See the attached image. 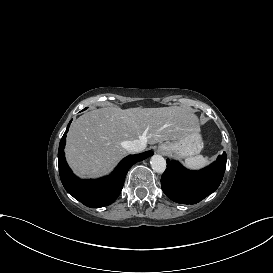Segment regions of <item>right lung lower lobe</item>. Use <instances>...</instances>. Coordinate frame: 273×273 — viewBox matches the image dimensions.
Returning a JSON list of instances; mask_svg holds the SVG:
<instances>
[{
  "label": "right lung lower lobe",
  "instance_id": "1",
  "mask_svg": "<svg viewBox=\"0 0 273 273\" xmlns=\"http://www.w3.org/2000/svg\"><path fill=\"white\" fill-rule=\"evenodd\" d=\"M70 123L71 121L68 126ZM67 131L68 127L60 141L58 149L60 179L64 188L71 196L91 208H100L113 203L121 193L129 168L133 164L153 155L152 151L130 155L120 162L109 177L97 180H81L72 173L65 160L64 146Z\"/></svg>",
  "mask_w": 273,
  "mask_h": 273
}]
</instances>
